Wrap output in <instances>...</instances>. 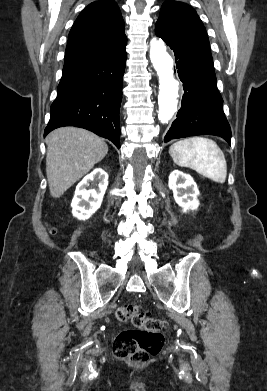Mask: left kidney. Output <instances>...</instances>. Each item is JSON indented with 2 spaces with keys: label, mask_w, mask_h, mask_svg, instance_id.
<instances>
[{
  "label": "left kidney",
  "mask_w": 267,
  "mask_h": 391,
  "mask_svg": "<svg viewBox=\"0 0 267 391\" xmlns=\"http://www.w3.org/2000/svg\"><path fill=\"white\" fill-rule=\"evenodd\" d=\"M168 187L173 191L174 199L184 213L198 208L199 190L190 175L174 170L169 176Z\"/></svg>",
  "instance_id": "1"
}]
</instances>
